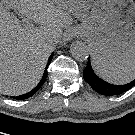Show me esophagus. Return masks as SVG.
<instances>
[{
	"mask_svg": "<svg viewBox=\"0 0 135 135\" xmlns=\"http://www.w3.org/2000/svg\"><path fill=\"white\" fill-rule=\"evenodd\" d=\"M77 34H78V32L76 29H74V28L68 29L64 34L63 40L71 41L73 38H75L77 36Z\"/></svg>",
	"mask_w": 135,
	"mask_h": 135,
	"instance_id": "esophagus-1",
	"label": "esophagus"
}]
</instances>
